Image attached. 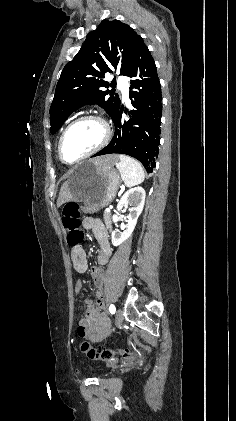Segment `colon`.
Wrapping results in <instances>:
<instances>
[{
	"instance_id": "5ec220e1",
	"label": "colon",
	"mask_w": 236,
	"mask_h": 421,
	"mask_svg": "<svg viewBox=\"0 0 236 421\" xmlns=\"http://www.w3.org/2000/svg\"><path fill=\"white\" fill-rule=\"evenodd\" d=\"M61 218H62V223H63L64 228L69 232L67 236L68 244L71 247H76L78 250V246L81 244L84 238L83 232L79 229V226H80L79 205L74 202L66 203L62 208ZM77 250L75 252V255L77 254ZM82 329L83 328L80 327V330ZM80 349L89 359L102 360V361H109L113 359L114 356L116 355H119L124 359H133L137 357L141 352L140 347H137L135 350H129V349L111 350V349L95 348L91 346L88 342H82L80 344Z\"/></svg>"
}]
</instances>
